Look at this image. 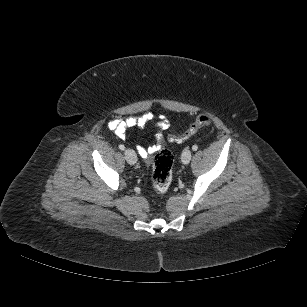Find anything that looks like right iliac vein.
Returning <instances> with one entry per match:
<instances>
[{"label":"right iliac vein","mask_w":307,"mask_h":307,"mask_svg":"<svg viewBox=\"0 0 307 307\" xmlns=\"http://www.w3.org/2000/svg\"><path fill=\"white\" fill-rule=\"evenodd\" d=\"M124 155H125V159L126 161L131 164V165H134L136 164L137 162V156L135 154V152L131 149H126L124 151Z\"/></svg>","instance_id":"obj_1"}]
</instances>
